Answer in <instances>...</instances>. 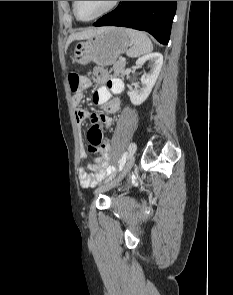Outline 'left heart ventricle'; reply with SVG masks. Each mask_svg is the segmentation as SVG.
I'll return each mask as SVG.
<instances>
[{
  "mask_svg": "<svg viewBox=\"0 0 233 295\" xmlns=\"http://www.w3.org/2000/svg\"><path fill=\"white\" fill-rule=\"evenodd\" d=\"M112 1H78L77 12L81 18L89 19L106 9Z\"/></svg>",
  "mask_w": 233,
  "mask_h": 295,
  "instance_id": "obj_1",
  "label": "left heart ventricle"
}]
</instances>
